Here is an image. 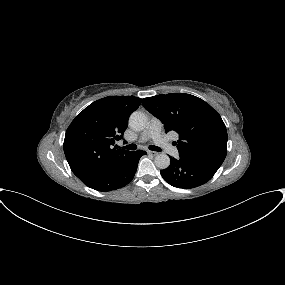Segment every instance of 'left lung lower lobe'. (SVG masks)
Segmentation results:
<instances>
[{
	"label": "left lung lower lobe",
	"instance_id": "obj_1",
	"mask_svg": "<svg viewBox=\"0 0 285 285\" xmlns=\"http://www.w3.org/2000/svg\"><path fill=\"white\" fill-rule=\"evenodd\" d=\"M170 166L160 173L165 181L177 188H195L208 182L221 164L180 156L170 157Z\"/></svg>",
	"mask_w": 285,
	"mask_h": 285
}]
</instances>
